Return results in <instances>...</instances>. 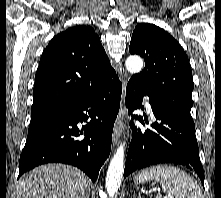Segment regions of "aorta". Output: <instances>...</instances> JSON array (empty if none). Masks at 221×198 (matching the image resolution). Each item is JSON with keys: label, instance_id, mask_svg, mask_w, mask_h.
<instances>
[{"label": "aorta", "instance_id": "762f6f07", "mask_svg": "<svg viewBox=\"0 0 221 198\" xmlns=\"http://www.w3.org/2000/svg\"><path fill=\"white\" fill-rule=\"evenodd\" d=\"M126 69L130 73H138L143 68V60L139 56H130L126 60ZM124 150L125 143L120 144L113 155L106 176V190L110 197L118 191L121 185L124 171Z\"/></svg>", "mask_w": 221, "mask_h": 198}]
</instances>
